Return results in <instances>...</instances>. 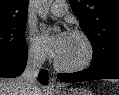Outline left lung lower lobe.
<instances>
[{
	"label": "left lung lower lobe",
	"instance_id": "obj_1",
	"mask_svg": "<svg viewBox=\"0 0 119 95\" xmlns=\"http://www.w3.org/2000/svg\"><path fill=\"white\" fill-rule=\"evenodd\" d=\"M58 78L63 82H82L88 80L118 78L119 79V55L105 66L98 68L90 65L88 69L72 74H58Z\"/></svg>",
	"mask_w": 119,
	"mask_h": 95
}]
</instances>
